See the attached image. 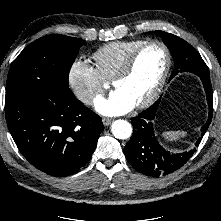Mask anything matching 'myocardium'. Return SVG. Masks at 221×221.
<instances>
[{"mask_svg":"<svg viewBox=\"0 0 221 221\" xmlns=\"http://www.w3.org/2000/svg\"><path fill=\"white\" fill-rule=\"evenodd\" d=\"M151 45H158L163 49L165 53V66L162 75L160 77V80L156 85L155 89L146 99L135 105L137 108H145L152 105L161 95L166 85L172 66V57L168 46L161 40L153 39L145 41L127 57L120 70L113 77V86L115 87L118 81L127 78L131 74L139 55L142 53L143 50H145L147 47Z\"/></svg>","mask_w":221,"mask_h":221,"instance_id":"obj_1","label":"myocardium"}]
</instances>
